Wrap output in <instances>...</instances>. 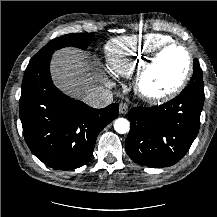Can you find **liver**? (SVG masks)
<instances>
[{"label": "liver", "mask_w": 217, "mask_h": 217, "mask_svg": "<svg viewBox=\"0 0 217 217\" xmlns=\"http://www.w3.org/2000/svg\"><path fill=\"white\" fill-rule=\"evenodd\" d=\"M51 75L55 85L65 94L83 98L94 87L85 55L73 48L56 51L51 60Z\"/></svg>", "instance_id": "6515ba94"}]
</instances>
